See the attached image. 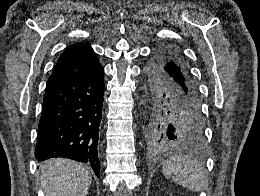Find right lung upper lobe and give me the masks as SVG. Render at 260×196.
Masks as SVG:
<instances>
[{"mask_svg": "<svg viewBox=\"0 0 260 196\" xmlns=\"http://www.w3.org/2000/svg\"><path fill=\"white\" fill-rule=\"evenodd\" d=\"M103 70L90 46L75 43L67 47L59 57L55 69L47 81L46 90L66 82L87 79Z\"/></svg>", "mask_w": 260, "mask_h": 196, "instance_id": "cb5924a9", "label": "right lung upper lobe"}]
</instances>
